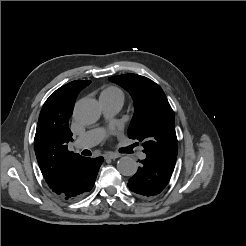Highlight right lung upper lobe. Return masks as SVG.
Listing matches in <instances>:
<instances>
[{
    "label": "right lung upper lobe",
    "instance_id": "1",
    "mask_svg": "<svg viewBox=\"0 0 246 246\" xmlns=\"http://www.w3.org/2000/svg\"><path fill=\"white\" fill-rule=\"evenodd\" d=\"M90 83L76 80L63 85L50 95L41 110L34 149L41 173L51 189L83 158L68 150L67 144L73 140L68 123L77 95Z\"/></svg>",
    "mask_w": 246,
    "mask_h": 246
}]
</instances>
